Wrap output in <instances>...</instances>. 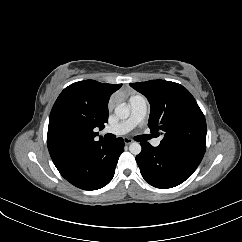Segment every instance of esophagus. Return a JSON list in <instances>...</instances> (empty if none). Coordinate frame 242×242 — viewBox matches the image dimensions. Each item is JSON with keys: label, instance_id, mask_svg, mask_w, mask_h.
<instances>
[{"label": "esophagus", "instance_id": "1", "mask_svg": "<svg viewBox=\"0 0 242 242\" xmlns=\"http://www.w3.org/2000/svg\"><path fill=\"white\" fill-rule=\"evenodd\" d=\"M132 142H133L132 139H130V138H124V143H125L126 145H129V144H131Z\"/></svg>", "mask_w": 242, "mask_h": 242}]
</instances>
